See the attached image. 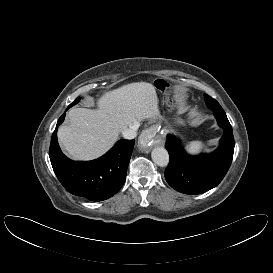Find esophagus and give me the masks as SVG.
<instances>
[{
  "label": "esophagus",
  "mask_w": 273,
  "mask_h": 273,
  "mask_svg": "<svg viewBox=\"0 0 273 273\" xmlns=\"http://www.w3.org/2000/svg\"><path fill=\"white\" fill-rule=\"evenodd\" d=\"M154 135H155L154 129H152V128L146 129L142 132L139 140L143 146H147V143L149 141H153ZM155 142L161 143L162 141L156 140Z\"/></svg>",
  "instance_id": "esophagus-1"
}]
</instances>
